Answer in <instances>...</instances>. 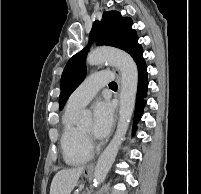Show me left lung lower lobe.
Listing matches in <instances>:
<instances>
[{
  "label": "left lung lower lobe",
  "instance_id": "left-lung-lower-lobe-1",
  "mask_svg": "<svg viewBox=\"0 0 201 194\" xmlns=\"http://www.w3.org/2000/svg\"><path fill=\"white\" fill-rule=\"evenodd\" d=\"M134 61L138 66V89H137V102L135 109V118H134V129H136V123L142 116V110L146 103L143 100L146 97V92L148 88V80H147V66L145 60L143 59V49L142 46L137 44L132 52L130 53Z\"/></svg>",
  "mask_w": 201,
  "mask_h": 194
}]
</instances>
